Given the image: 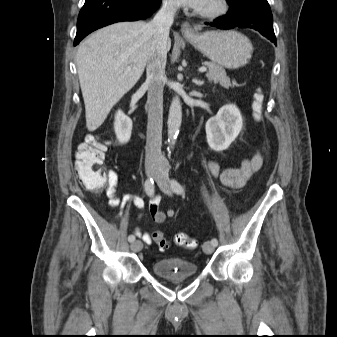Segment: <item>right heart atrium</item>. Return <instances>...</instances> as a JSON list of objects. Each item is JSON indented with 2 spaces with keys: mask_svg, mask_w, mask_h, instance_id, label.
I'll return each mask as SVG.
<instances>
[{
  "mask_svg": "<svg viewBox=\"0 0 337 337\" xmlns=\"http://www.w3.org/2000/svg\"><path fill=\"white\" fill-rule=\"evenodd\" d=\"M165 5H167L172 10L174 9V5L172 4L170 0H165Z\"/></svg>",
  "mask_w": 337,
  "mask_h": 337,
  "instance_id": "right-heart-atrium-1",
  "label": "right heart atrium"
}]
</instances>
